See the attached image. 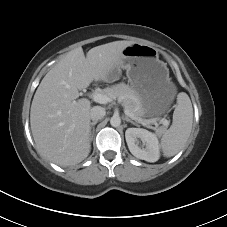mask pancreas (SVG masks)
Listing matches in <instances>:
<instances>
[{"label":"pancreas","mask_w":227,"mask_h":227,"mask_svg":"<svg viewBox=\"0 0 227 227\" xmlns=\"http://www.w3.org/2000/svg\"><path fill=\"white\" fill-rule=\"evenodd\" d=\"M102 94L109 96L111 99H119L123 105L137 118L143 117V107L137 93L125 83H119L107 87Z\"/></svg>","instance_id":"1"}]
</instances>
